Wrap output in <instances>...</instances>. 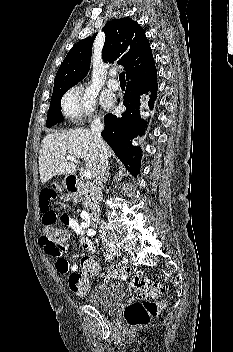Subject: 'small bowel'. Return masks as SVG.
<instances>
[{
	"label": "small bowel",
	"mask_w": 233,
	"mask_h": 352,
	"mask_svg": "<svg viewBox=\"0 0 233 352\" xmlns=\"http://www.w3.org/2000/svg\"><path fill=\"white\" fill-rule=\"evenodd\" d=\"M58 206H60L66 212H73L78 214L79 219L70 218L65 213H60L57 208ZM39 208L42 223L46 221H52L55 223L58 219H60L75 233L86 235L87 237L80 240V244L88 251L89 254H96V249L91 241V237L94 236V230L90 227V221L87 212L81 211L77 206L71 203H60L56 189L53 186L44 187L40 191ZM39 245L42 247L46 255L55 258V267L60 274L67 275L77 272L79 268L78 265H70L64 256V246H57L46 240L44 237L39 239Z\"/></svg>",
	"instance_id": "obj_1"
}]
</instances>
